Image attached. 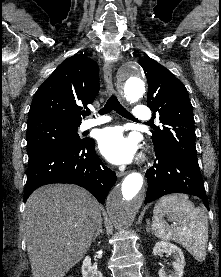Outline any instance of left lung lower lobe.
<instances>
[{"label": "left lung lower lobe", "instance_id": "1", "mask_svg": "<svg viewBox=\"0 0 221 277\" xmlns=\"http://www.w3.org/2000/svg\"><path fill=\"white\" fill-rule=\"evenodd\" d=\"M155 153L157 159L145 173L148 181L145 204L166 194L186 193L200 197L209 210L199 165L168 151Z\"/></svg>", "mask_w": 221, "mask_h": 277}]
</instances>
